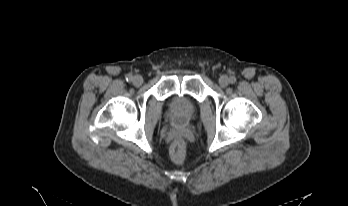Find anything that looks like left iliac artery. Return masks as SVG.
<instances>
[{
  "label": "left iliac artery",
  "mask_w": 348,
  "mask_h": 206,
  "mask_svg": "<svg viewBox=\"0 0 348 206\" xmlns=\"http://www.w3.org/2000/svg\"><path fill=\"white\" fill-rule=\"evenodd\" d=\"M229 81H230V83H232V84H233V83H235V82H236V78H235V77H230V80H229Z\"/></svg>",
  "instance_id": "1"
}]
</instances>
